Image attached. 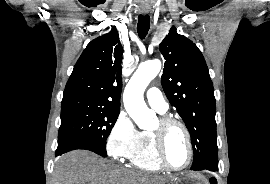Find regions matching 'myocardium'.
<instances>
[{"label": "myocardium", "instance_id": "1", "mask_svg": "<svg viewBox=\"0 0 270 184\" xmlns=\"http://www.w3.org/2000/svg\"><path fill=\"white\" fill-rule=\"evenodd\" d=\"M159 127L156 130H153L151 132V135L154 140L155 145V151L158 158V161L162 165L163 168L170 170V171H182L185 170L192 162L193 159V144L190 132L187 128V126L180 120L171 117V116H163L159 119ZM177 126L179 127L185 137L187 142V148H188V158L185 164L181 167H174L172 166L166 158V152H165V145H166V135L167 131L171 128Z\"/></svg>", "mask_w": 270, "mask_h": 184}]
</instances>
